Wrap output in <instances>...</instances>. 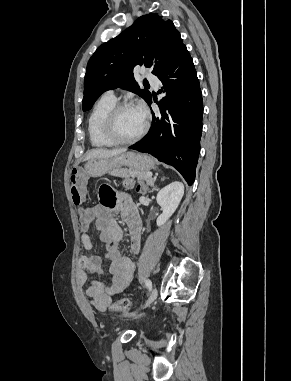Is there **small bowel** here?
<instances>
[{
	"label": "small bowel",
	"mask_w": 291,
	"mask_h": 381,
	"mask_svg": "<svg viewBox=\"0 0 291 381\" xmlns=\"http://www.w3.org/2000/svg\"><path fill=\"white\" fill-rule=\"evenodd\" d=\"M100 197L109 198L112 203L105 205L101 202L84 209L80 216V241L86 250L92 249L89 227L91 222L95 221L100 239L106 245L105 257L109 261L111 281L92 280L86 293L96 310L105 311L112 297L131 284L135 265L132 259L122 255L119 250L123 231L112 218V210L117 199L115 191L110 187L101 189ZM118 210L129 230L130 248L132 252L138 253L141 248V221L138 212L126 195L121 196ZM78 268V281L81 285L86 282L88 275L103 274L102 261L97 255L81 256L78 259Z\"/></svg>",
	"instance_id": "c3829d8e"
}]
</instances>
